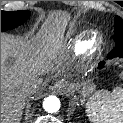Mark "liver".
Listing matches in <instances>:
<instances>
[{
  "instance_id": "liver-1",
  "label": "liver",
  "mask_w": 123,
  "mask_h": 123,
  "mask_svg": "<svg viewBox=\"0 0 123 123\" xmlns=\"http://www.w3.org/2000/svg\"><path fill=\"white\" fill-rule=\"evenodd\" d=\"M35 40L1 35V123H19L27 95L23 83L43 74L64 72L67 66L60 51V23L53 19Z\"/></svg>"
}]
</instances>
